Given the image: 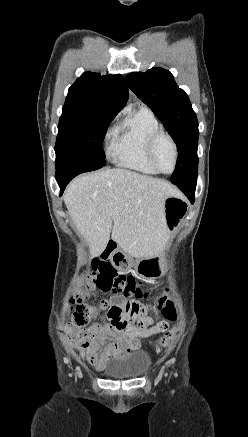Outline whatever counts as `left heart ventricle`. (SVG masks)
<instances>
[{"label": "left heart ventricle", "instance_id": "1", "mask_svg": "<svg viewBox=\"0 0 248 437\" xmlns=\"http://www.w3.org/2000/svg\"><path fill=\"white\" fill-rule=\"evenodd\" d=\"M155 155L159 167L165 172H170L174 164V151L168 139H160L156 146Z\"/></svg>", "mask_w": 248, "mask_h": 437}]
</instances>
